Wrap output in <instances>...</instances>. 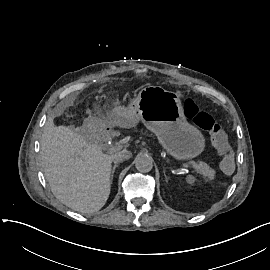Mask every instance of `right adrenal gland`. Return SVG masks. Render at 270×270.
<instances>
[{"label": "right adrenal gland", "mask_w": 270, "mask_h": 270, "mask_svg": "<svg viewBox=\"0 0 270 270\" xmlns=\"http://www.w3.org/2000/svg\"><path fill=\"white\" fill-rule=\"evenodd\" d=\"M117 168V165H115L111 171V181L113 180V176H114V173H115V170Z\"/></svg>", "instance_id": "obj_1"}]
</instances>
